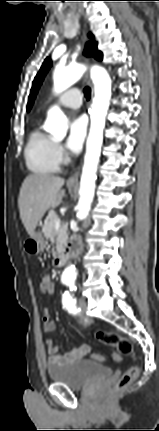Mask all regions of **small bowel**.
<instances>
[{"label": "small bowel", "mask_w": 159, "mask_h": 431, "mask_svg": "<svg viewBox=\"0 0 159 431\" xmlns=\"http://www.w3.org/2000/svg\"><path fill=\"white\" fill-rule=\"evenodd\" d=\"M51 276H52V273L49 270H46L42 274V278L40 281V290L43 295H49L48 284H49V278ZM43 328L45 332H53L55 330V324L52 321L48 310H45L43 313ZM46 344H47V351L49 354L48 361H47L48 365H63L83 358L90 351L87 345H80L78 347L73 348L71 351L67 352L64 355H59L58 354L59 345L54 339L52 338L47 339Z\"/></svg>", "instance_id": "1"}]
</instances>
